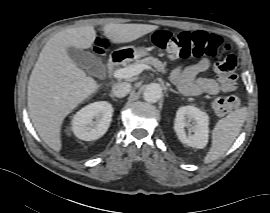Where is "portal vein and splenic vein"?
<instances>
[{"mask_svg": "<svg viewBox=\"0 0 270 213\" xmlns=\"http://www.w3.org/2000/svg\"><path fill=\"white\" fill-rule=\"evenodd\" d=\"M145 69L151 70L152 68L145 64L132 65L126 68L115 70L113 76L117 79H126L140 74Z\"/></svg>", "mask_w": 270, "mask_h": 213, "instance_id": "1", "label": "portal vein and splenic vein"}]
</instances>
